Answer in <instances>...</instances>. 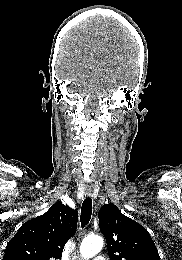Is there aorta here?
Wrapping results in <instances>:
<instances>
[{"label": "aorta", "mask_w": 182, "mask_h": 260, "mask_svg": "<svg viewBox=\"0 0 182 260\" xmlns=\"http://www.w3.org/2000/svg\"><path fill=\"white\" fill-rule=\"evenodd\" d=\"M104 241L101 236L90 235L83 239L80 246V254L84 259H89L98 254L102 247Z\"/></svg>", "instance_id": "762f6f07"}]
</instances>
